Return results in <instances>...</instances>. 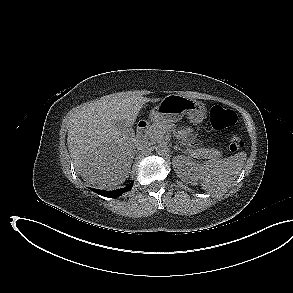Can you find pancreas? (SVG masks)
Here are the masks:
<instances>
[{
  "label": "pancreas",
  "mask_w": 293,
  "mask_h": 293,
  "mask_svg": "<svg viewBox=\"0 0 293 293\" xmlns=\"http://www.w3.org/2000/svg\"><path fill=\"white\" fill-rule=\"evenodd\" d=\"M172 127L168 122H158L152 124L148 131L146 132L145 136L146 139L150 141H158L163 138L164 134L167 130ZM185 135L191 133L190 129L185 130ZM188 152L196 158H203V159H217L222 156V152L218 151L215 148H197L195 150L189 149Z\"/></svg>",
  "instance_id": "1"
}]
</instances>
